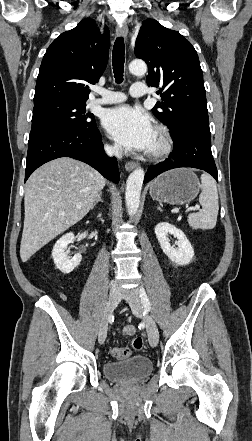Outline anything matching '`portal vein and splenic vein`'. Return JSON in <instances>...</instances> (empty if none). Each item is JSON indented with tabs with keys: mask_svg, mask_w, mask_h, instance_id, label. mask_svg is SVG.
<instances>
[{
	"mask_svg": "<svg viewBox=\"0 0 252 441\" xmlns=\"http://www.w3.org/2000/svg\"><path fill=\"white\" fill-rule=\"evenodd\" d=\"M195 210H200V207H199V206L190 207V208L187 209V212H189V211H195Z\"/></svg>",
	"mask_w": 252,
	"mask_h": 441,
	"instance_id": "portal-vein-and-splenic-vein-1",
	"label": "portal vein and splenic vein"
}]
</instances>
